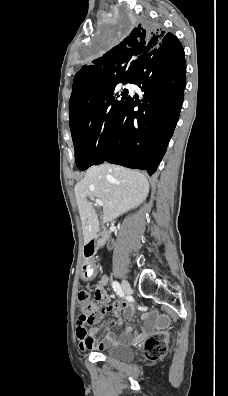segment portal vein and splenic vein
<instances>
[{
    "mask_svg": "<svg viewBox=\"0 0 228 396\" xmlns=\"http://www.w3.org/2000/svg\"><path fill=\"white\" fill-rule=\"evenodd\" d=\"M90 199L95 201V205L96 206H102L103 205V202L101 200H99V199L95 200L93 197H90Z\"/></svg>",
    "mask_w": 228,
    "mask_h": 396,
    "instance_id": "1",
    "label": "portal vein and splenic vein"
}]
</instances>
